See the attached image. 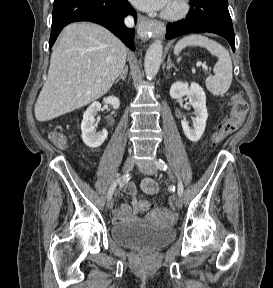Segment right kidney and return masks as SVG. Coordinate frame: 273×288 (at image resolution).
I'll use <instances>...</instances> for the list:
<instances>
[{"label":"right kidney","instance_id":"ca27d5eb","mask_svg":"<svg viewBox=\"0 0 273 288\" xmlns=\"http://www.w3.org/2000/svg\"><path fill=\"white\" fill-rule=\"evenodd\" d=\"M103 102L112 106L113 109H118L120 106L119 99L114 96L105 98ZM100 110L101 104L99 102H94L83 114V120L81 123L82 140L90 148L100 147L108 136L106 129H103L100 132H96L95 129V116Z\"/></svg>","mask_w":273,"mask_h":288}]
</instances>
